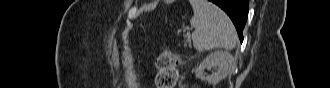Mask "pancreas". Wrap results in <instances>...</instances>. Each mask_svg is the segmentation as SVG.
<instances>
[{
	"label": "pancreas",
	"instance_id": "1",
	"mask_svg": "<svg viewBox=\"0 0 330 88\" xmlns=\"http://www.w3.org/2000/svg\"><path fill=\"white\" fill-rule=\"evenodd\" d=\"M185 38H186V41H185V43H184V46H187V43L189 44V46H190V36L189 35H185Z\"/></svg>",
	"mask_w": 330,
	"mask_h": 88
}]
</instances>
